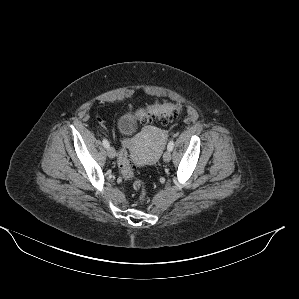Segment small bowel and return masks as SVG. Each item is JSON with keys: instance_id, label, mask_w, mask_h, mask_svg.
<instances>
[{"instance_id": "1", "label": "small bowel", "mask_w": 299, "mask_h": 299, "mask_svg": "<svg viewBox=\"0 0 299 299\" xmlns=\"http://www.w3.org/2000/svg\"><path fill=\"white\" fill-rule=\"evenodd\" d=\"M125 151H126V144L124 143L123 146H122V149H121L120 153L125 152Z\"/></svg>"}]
</instances>
